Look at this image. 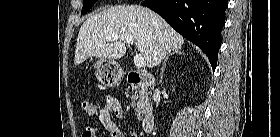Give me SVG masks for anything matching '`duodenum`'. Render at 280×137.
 <instances>
[{
	"instance_id": "410a0bca",
	"label": "duodenum",
	"mask_w": 280,
	"mask_h": 137,
	"mask_svg": "<svg viewBox=\"0 0 280 137\" xmlns=\"http://www.w3.org/2000/svg\"><path fill=\"white\" fill-rule=\"evenodd\" d=\"M126 82L128 85L137 86L141 83L153 84V79L149 78L147 75L142 74L138 71H131L126 75ZM155 125V118L153 115H148L143 120V130L146 132H151Z\"/></svg>"
}]
</instances>
